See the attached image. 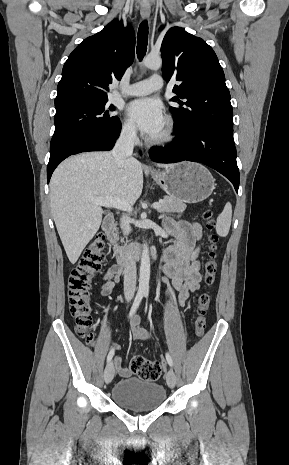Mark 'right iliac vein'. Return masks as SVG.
Segmentation results:
<instances>
[{
	"mask_svg": "<svg viewBox=\"0 0 289 465\" xmlns=\"http://www.w3.org/2000/svg\"><path fill=\"white\" fill-rule=\"evenodd\" d=\"M115 374L113 362H109L104 370L105 383H110L113 380Z\"/></svg>",
	"mask_w": 289,
	"mask_h": 465,
	"instance_id": "1",
	"label": "right iliac vein"
}]
</instances>
